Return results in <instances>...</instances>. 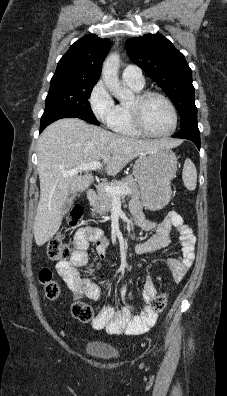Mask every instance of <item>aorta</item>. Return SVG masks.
Masks as SVG:
<instances>
[{
    "instance_id": "762f6f07",
    "label": "aorta",
    "mask_w": 227,
    "mask_h": 396,
    "mask_svg": "<svg viewBox=\"0 0 227 396\" xmlns=\"http://www.w3.org/2000/svg\"><path fill=\"white\" fill-rule=\"evenodd\" d=\"M120 57L117 53L109 55L103 63L102 78L108 90L118 99L130 97L131 91L122 87L118 77Z\"/></svg>"
}]
</instances>
